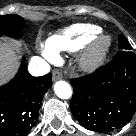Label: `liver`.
Instances as JSON below:
<instances>
[{
  "instance_id": "obj_1",
  "label": "liver",
  "mask_w": 136,
  "mask_h": 136,
  "mask_svg": "<svg viewBox=\"0 0 136 136\" xmlns=\"http://www.w3.org/2000/svg\"><path fill=\"white\" fill-rule=\"evenodd\" d=\"M18 51L12 40H0V85L15 74L19 64Z\"/></svg>"
}]
</instances>
